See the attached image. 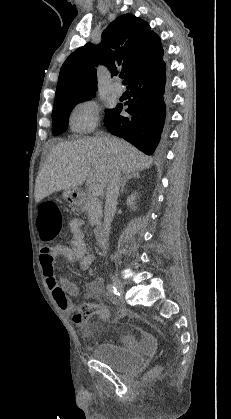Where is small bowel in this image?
Returning <instances> with one entry per match:
<instances>
[{"mask_svg":"<svg viewBox=\"0 0 231 419\" xmlns=\"http://www.w3.org/2000/svg\"><path fill=\"white\" fill-rule=\"evenodd\" d=\"M83 221L79 218H74L70 222V229L72 237L68 245L57 244L51 247H43L40 250V264L43 276L46 284L52 294V297L61 311L67 314H71L73 320L81 325V328L85 330V321L88 318H81L79 315V309L70 300L69 296H77L79 290L77 285L70 279L60 278L57 279L54 270V264L58 256H63L65 259L74 266L78 262V267L81 270H87L94 262V256L89 251L88 244L85 241V235L82 230ZM87 295L90 298H108V295L104 293L102 288V281L96 279L87 286ZM99 308H106L103 304H94ZM126 315H133L125 310H120L117 314L119 318ZM125 343L128 345H135L138 343L136 338L132 335H126L124 337ZM146 346L150 345V338L146 336L144 340ZM147 350V348H145Z\"/></svg>","mask_w":231,"mask_h":419,"instance_id":"1","label":"small bowel"}]
</instances>
